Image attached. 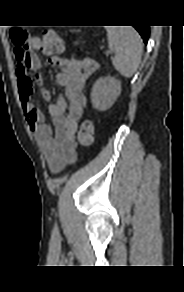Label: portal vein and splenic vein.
Wrapping results in <instances>:
<instances>
[{
  "mask_svg": "<svg viewBox=\"0 0 184 292\" xmlns=\"http://www.w3.org/2000/svg\"><path fill=\"white\" fill-rule=\"evenodd\" d=\"M107 53H108V54H110V53H111V51H108Z\"/></svg>",
  "mask_w": 184,
  "mask_h": 292,
  "instance_id": "18ae733b",
  "label": "portal vein and splenic vein"
}]
</instances>
